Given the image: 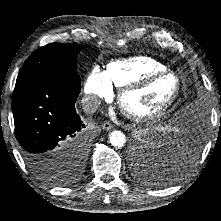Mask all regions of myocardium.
<instances>
[{
    "mask_svg": "<svg viewBox=\"0 0 221 221\" xmlns=\"http://www.w3.org/2000/svg\"><path fill=\"white\" fill-rule=\"evenodd\" d=\"M162 77L173 78L175 81V90L171 95V97L160 108L150 113H136L130 110L126 106L125 99L128 95L138 90L144 89L145 87L149 86L152 82ZM181 88H182L181 80L179 76L173 71L165 70V71L153 72L136 82L130 83L122 87L117 97L118 107L127 118H129L134 122H148V121L158 120L161 117H163L173 107V105L175 104L181 93Z\"/></svg>",
    "mask_w": 221,
    "mask_h": 221,
    "instance_id": "obj_1",
    "label": "myocardium"
}]
</instances>
